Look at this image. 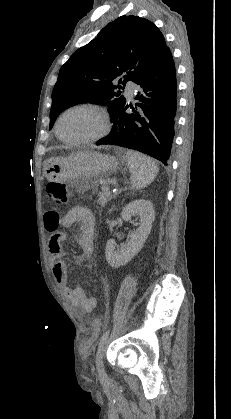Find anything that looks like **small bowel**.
Returning <instances> with one entry per match:
<instances>
[{"mask_svg":"<svg viewBox=\"0 0 231 419\" xmlns=\"http://www.w3.org/2000/svg\"><path fill=\"white\" fill-rule=\"evenodd\" d=\"M74 224H79L80 227L79 233L75 237L76 242L81 247L84 257H89L93 252L95 229V218L89 209L75 207L63 217L56 213H47L44 216V226L52 233L48 251L54 279L77 313L87 315L97 307L98 301L95 297L86 295L81 287L71 288L68 286L67 268L62 260V243L66 237L64 233L57 231L59 226L71 227Z\"/></svg>","mask_w":231,"mask_h":419,"instance_id":"obj_1","label":"small bowel"}]
</instances>
